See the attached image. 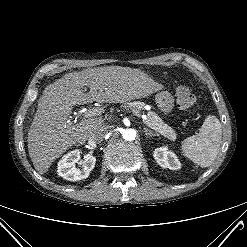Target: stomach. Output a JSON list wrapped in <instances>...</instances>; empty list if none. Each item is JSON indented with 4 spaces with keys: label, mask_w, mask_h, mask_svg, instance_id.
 Segmentation results:
<instances>
[{
    "label": "stomach",
    "mask_w": 247,
    "mask_h": 247,
    "mask_svg": "<svg viewBox=\"0 0 247 247\" xmlns=\"http://www.w3.org/2000/svg\"><path fill=\"white\" fill-rule=\"evenodd\" d=\"M155 101L158 108L164 113L171 112L174 107V98L168 91H161L157 93L155 96Z\"/></svg>",
    "instance_id": "obj_1"
}]
</instances>
